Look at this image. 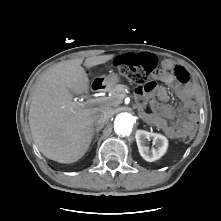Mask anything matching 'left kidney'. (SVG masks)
<instances>
[{"label": "left kidney", "mask_w": 221, "mask_h": 221, "mask_svg": "<svg viewBox=\"0 0 221 221\" xmlns=\"http://www.w3.org/2000/svg\"><path fill=\"white\" fill-rule=\"evenodd\" d=\"M138 150L143 159L148 162H153L161 158L168 147V140L165 136L157 133H152L144 130H138L135 135ZM153 140V147L151 150L146 146L147 140Z\"/></svg>", "instance_id": "left-kidney-1"}]
</instances>
